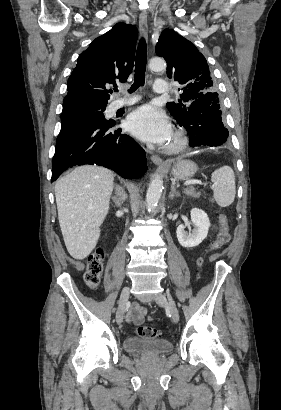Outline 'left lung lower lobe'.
<instances>
[{"instance_id":"0a47b994","label":"left lung lower lobe","mask_w":281,"mask_h":410,"mask_svg":"<svg viewBox=\"0 0 281 410\" xmlns=\"http://www.w3.org/2000/svg\"><path fill=\"white\" fill-rule=\"evenodd\" d=\"M219 99L196 100L188 108L183 126L189 134L191 147L219 146L226 142L229 132L222 122Z\"/></svg>"}]
</instances>
